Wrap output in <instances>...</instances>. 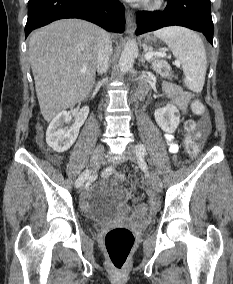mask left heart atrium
I'll return each mask as SVG.
<instances>
[{
    "label": "left heart atrium",
    "instance_id": "1",
    "mask_svg": "<svg viewBox=\"0 0 233 284\" xmlns=\"http://www.w3.org/2000/svg\"><path fill=\"white\" fill-rule=\"evenodd\" d=\"M129 1H136V2H140V1H145V0H129Z\"/></svg>",
    "mask_w": 233,
    "mask_h": 284
}]
</instances>
